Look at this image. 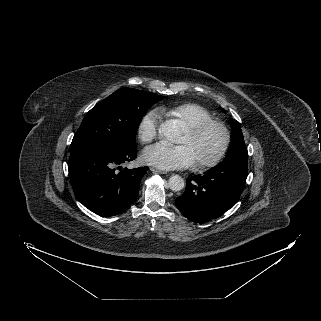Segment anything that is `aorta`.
<instances>
[{
    "mask_svg": "<svg viewBox=\"0 0 321 321\" xmlns=\"http://www.w3.org/2000/svg\"><path fill=\"white\" fill-rule=\"evenodd\" d=\"M159 133L165 139L171 142H175L180 134V129L173 120H168L160 125ZM168 185L172 191L178 192L184 188L185 183H184V179L181 176L172 175L169 178Z\"/></svg>",
    "mask_w": 321,
    "mask_h": 321,
    "instance_id": "762f6f07",
    "label": "aorta"
}]
</instances>
